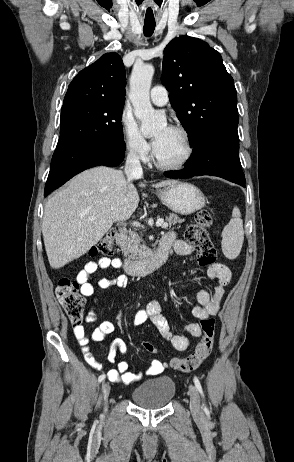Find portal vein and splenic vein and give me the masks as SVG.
<instances>
[{
	"mask_svg": "<svg viewBox=\"0 0 294 462\" xmlns=\"http://www.w3.org/2000/svg\"><path fill=\"white\" fill-rule=\"evenodd\" d=\"M132 224H133L134 226H136V227H140V226H141L139 222H133ZM163 225H165L163 219H158V220L156 221V226H157V227H160V226H163Z\"/></svg>",
	"mask_w": 294,
	"mask_h": 462,
	"instance_id": "1",
	"label": "portal vein and splenic vein"
}]
</instances>
